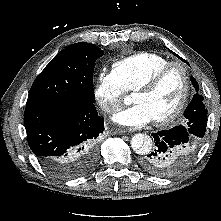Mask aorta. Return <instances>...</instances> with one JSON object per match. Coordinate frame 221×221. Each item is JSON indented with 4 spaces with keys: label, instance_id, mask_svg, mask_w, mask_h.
<instances>
[{
    "label": "aorta",
    "instance_id": "obj_1",
    "mask_svg": "<svg viewBox=\"0 0 221 221\" xmlns=\"http://www.w3.org/2000/svg\"><path fill=\"white\" fill-rule=\"evenodd\" d=\"M130 143L132 149L141 155L147 154L152 149V139L142 133L135 134Z\"/></svg>",
    "mask_w": 221,
    "mask_h": 221
}]
</instances>
